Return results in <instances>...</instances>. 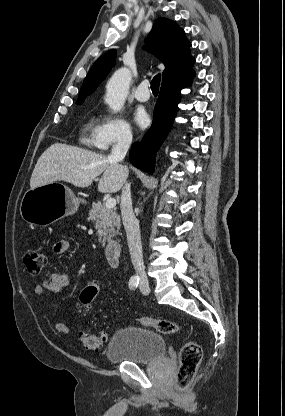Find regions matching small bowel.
Listing matches in <instances>:
<instances>
[{
    "label": "small bowel",
    "mask_w": 285,
    "mask_h": 416,
    "mask_svg": "<svg viewBox=\"0 0 285 416\" xmlns=\"http://www.w3.org/2000/svg\"><path fill=\"white\" fill-rule=\"evenodd\" d=\"M70 243L67 240H58L53 245V252L62 254L69 250ZM71 284L70 275L65 272H53L47 277L43 278L34 288L37 295H44L46 293L57 294L67 289ZM55 330L60 334H68L69 328L66 323L59 319L54 323Z\"/></svg>",
    "instance_id": "small-bowel-1"
}]
</instances>
